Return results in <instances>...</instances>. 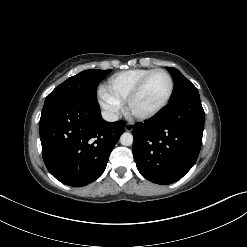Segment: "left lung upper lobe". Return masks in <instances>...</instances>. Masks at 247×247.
<instances>
[{
  "instance_id": "1",
  "label": "left lung upper lobe",
  "mask_w": 247,
  "mask_h": 247,
  "mask_svg": "<svg viewBox=\"0 0 247 247\" xmlns=\"http://www.w3.org/2000/svg\"><path fill=\"white\" fill-rule=\"evenodd\" d=\"M166 69L171 73L175 84L174 95L170 104L189 98H200L197 88L179 70L172 67H166Z\"/></svg>"
}]
</instances>
